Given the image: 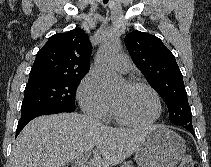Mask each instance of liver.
<instances>
[{"mask_svg": "<svg viewBox=\"0 0 211 167\" xmlns=\"http://www.w3.org/2000/svg\"><path fill=\"white\" fill-rule=\"evenodd\" d=\"M154 127L112 128L77 113L41 116L15 140L9 167H64L91 151L89 167L115 166L136 152Z\"/></svg>", "mask_w": 211, "mask_h": 167, "instance_id": "6515ba94", "label": "liver"}]
</instances>
